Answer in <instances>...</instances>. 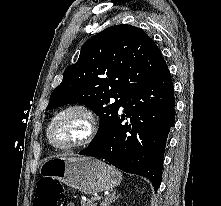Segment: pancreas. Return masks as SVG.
<instances>
[{
	"label": "pancreas",
	"instance_id": "1",
	"mask_svg": "<svg viewBox=\"0 0 221 206\" xmlns=\"http://www.w3.org/2000/svg\"><path fill=\"white\" fill-rule=\"evenodd\" d=\"M81 206H95L93 201H82Z\"/></svg>",
	"mask_w": 221,
	"mask_h": 206
}]
</instances>
